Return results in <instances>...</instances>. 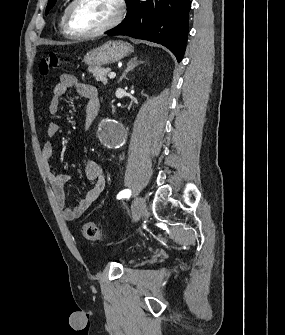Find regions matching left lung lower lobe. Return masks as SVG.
I'll return each instance as SVG.
<instances>
[{"label": "left lung lower lobe", "mask_w": 285, "mask_h": 335, "mask_svg": "<svg viewBox=\"0 0 285 335\" xmlns=\"http://www.w3.org/2000/svg\"><path fill=\"white\" fill-rule=\"evenodd\" d=\"M127 16L108 35H127L167 47L180 62L184 55L189 0H126Z\"/></svg>", "instance_id": "left-lung-lower-lobe-1"}]
</instances>
